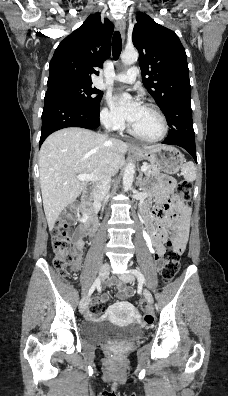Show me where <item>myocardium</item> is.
Here are the masks:
<instances>
[{
	"mask_svg": "<svg viewBox=\"0 0 228 396\" xmlns=\"http://www.w3.org/2000/svg\"><path fill=\"white\" fill-rule=\"evenodd\" d=\"M143 107H144V108H147V109H149V110H151V111H153V112L158 116V118H159V120H160V122H161V125H162L161 133H160L158 136L153 137V138L144 137V136L140 135V134L134 129L133 125L130 126V129H129V130H130V133H131L135 138H137V139H139V140H141V141H144V142L156 143V142L162 141V140L165 139V137L167 136L168 130H169L166 117H165L164 114L161 112V110H160L157 106H155V105H153V104L146 103V104L143 105Z\"/></svg>",
	"mask_w": 228,
	"mask_h": 396,
	"instance_id": "myocardium-1",
	"label": "myocardium"
}]
</instances>
